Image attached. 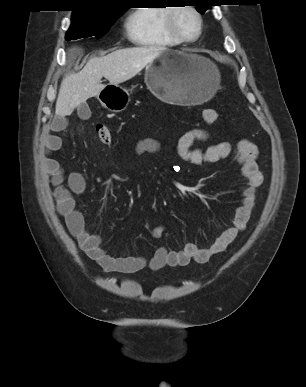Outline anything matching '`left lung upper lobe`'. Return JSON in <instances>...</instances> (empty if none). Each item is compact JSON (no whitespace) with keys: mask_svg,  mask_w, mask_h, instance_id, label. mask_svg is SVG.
<instances>
[{"mask_svg":"<svg viewBox=\"0 0 306 387\" xmlns=\"http://www.w3.org/2000/svg\"><path fill=\"white\" fill-rule=\"evenodd\" d=\"M192 2L195 4L197 11L204 14L210 6L215 5L216 0H192Z\"/></svg>","mask_w":306,"mask_h":387,"instance_id":"5c2ea615","label":"left lung upper lobe"}]
</instances>
